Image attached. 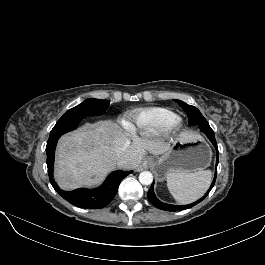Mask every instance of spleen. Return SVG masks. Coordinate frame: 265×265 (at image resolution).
I'll list each match as a JSON object with an SVG mask.
<instances>
[{
	"label": "spleen",
	"instance_id": "3e777b00",
	"mask_svg": "<svg viewBox=\"0 0 265 265\" xmlns=\"http://www.w3.org/2000/svg\"><path fill=\"white\" fill-rule=\"evenodd\" d=\"M211 180L210 170L171 172L167 175V187L178 202L187 204L200 198L209 188Z\"/></svg>",
	"mask_w": 265,
	"mask_h": 265
}]
</instances>
